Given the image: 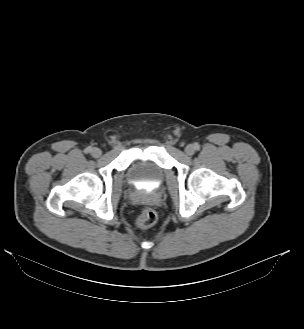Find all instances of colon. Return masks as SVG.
<instances>
[{
	"mask_svg": "<svg viewBox=\"0 0 304 329\" xmlns=\"http://www.w3.org/2000/svg\"><path fill=\"white\" fill-rule=\"evenodd\" d=\"M157 215L151 208H144L135 220L137 227L146 229L153 226L156 222Z\"/></svg>",
	"mask_w": 304,
	"mask_h": 329,
	"instance_id": "1",
	"label": "colon"
}]
</instances>
